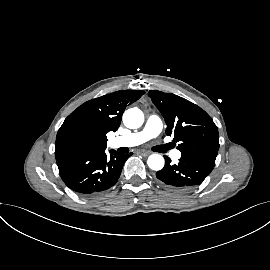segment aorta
I'll return each mask as SVG.
<instances>
[{"label": "aorta", "instance_id": "1", "mask_svg": "<svg viewBox=\"0 0 270 270\" xmlns=\"http://www.w3.org/2000/svg\"><path fill=\"white\" fill-rule=\"evenodd\" d=\"M144 122V114L138 108H130L123 114V123L127 128L137 129ZM164 158L159 154H152L148 157L147 164L150 169L158 171L164 167Z\"/></svg>", "mask_w": 270, "mask_h": 270}]
</instances>
